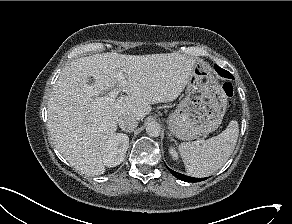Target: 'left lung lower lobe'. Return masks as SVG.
<instances>
[{"mask_svg": "<svg viewBox=\"0 0 292 224\" xmlns=\"http://www.w3.org/2000/svg\"><path fill=\"white\" fill-rule=\"evenodd\" d=\"M215 69H216V71H217L220 75H224V76H226L225 73L223 72V71H225V70H223V69L220 68L219 66L215 65ZM168 169H169V168H168ZM169 171H170V172H171L176 178H178V179H180V180H183V181H186V182H199V181H203V180L206 179V178H194V177L185 176V175H183V174H181V173H178V172H175V171H173V170H171V169H169Z\"/></svg>", "mask_w": 292, "mask_h": 224, "instance_id": "0a47b994", "label": "left lung lower lobe"}]
</instances>
